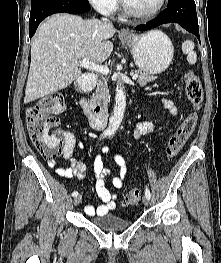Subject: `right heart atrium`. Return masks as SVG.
Returning <instances> with one entry per match:
<instances>
[{
    "label": "right heart atrium",
    "instance_id": "d8ad5b80",
    "mask_svg": "<svg viewBox=\"0 0 221 263\" xmlns=\"http://www.w3.org/2000/svg\"><path fill=\"white\" fill-rule=\"evenodd\" d=\"M90 5L103 14H112L118 7V0H88Z\"/></svg>",
    "mask_w": 221,
    "mask_h": 263
}]
</instances>
